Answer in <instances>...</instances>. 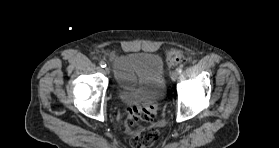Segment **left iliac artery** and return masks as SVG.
<instances>
[{
	"label": "left iliac artery",
	"mask_w": 279,
	"mask_h": 148,
	"mask_svg": "<svg viewBox=\"0 0 279 148\" xmlns=\"http://www.w3.org/2000/svg\"><path fill=\"white\" fill-rule=\"evenodd\" d=\"M177 71L179 74H181L183 70H182V68H178Z\"/></svg>",
	"instance_id": "1"
}]
</instances>
